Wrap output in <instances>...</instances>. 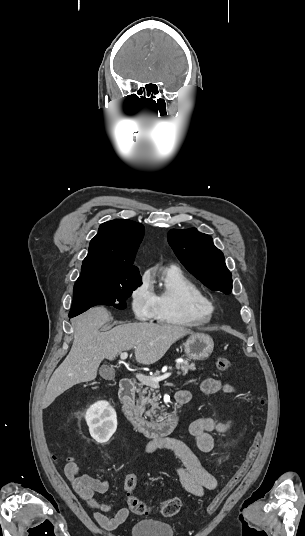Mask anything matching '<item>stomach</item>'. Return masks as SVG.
Wrapping results in <instances>:
<instances>
[{"instance_id":"obj_1","label":"stomach","mask_w":305,"mask_h":536,"mask_svg":"<svg viewBox=\"0 0 305 536\" xmlns=\"http://www.w3.org/2000/svg\"><path fill=\"white\" fill-rule=\"evenodd\" d=\"M213 348L214 342L208 334H192L184 344L185 354L190 360H206Z\"/></svg>"}]
</instances>
